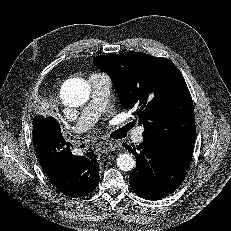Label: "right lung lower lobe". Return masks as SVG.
Listing matches in <instances>:
<instances>
[{"instance_id": "98d812e1", "label": "right lung lower lobe", "mask_w": 231, "mask_h": 231, "mask_svg": "<svg viewBox=\"0 0 231 231\" xmlns=\"http://www.w3.org/2000/svg\"><path fill=\"white\" fill-rule=\"evenodd\" d=\"M33 127V144L52 184L69 197L92 192L100 180L97 155L92 149L85 156H74L71 144L61 135L59 123L51 117L43 118Z\"/></svg>"}]
</instances>
